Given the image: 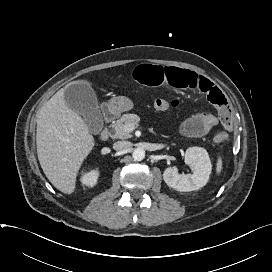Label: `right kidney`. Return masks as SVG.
<instances>
[{
	"label": "right kidney",
	"instance_id": "right-kidney-1",
	"mask_svg": "<svg viewBox=\"0 0 272 272\" xmlns=\"http://www.w3.org/2000/svg\"><path fill=\"white\" fill-rule=\"evenodd\" d=\"M99 177L98 170H92L90 172L84 173L81 176V183L85 186L93 187L97 183V179Z\"/></svg>",
	"mask_w": 272,
	"mask_h": 272
}]
</instances>
